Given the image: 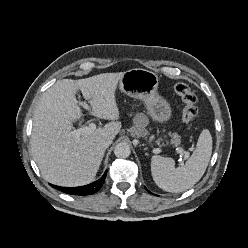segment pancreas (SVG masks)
Segmentation results:
<instances>
[{
  "mask_svg": "<svg viewBox=\"0 0 248 248\" xmlns=\"http://www.w3.org/2000/svg\"><path fill=\"white\" fill-rule=\"evenodd\" d=\"M173 143L179 144L181 142L180 136L178 134H173Z\"/></svg>",
  "mask_w": 248,
  "mask_h": 248,
  "instance_id": "obj_1",
  "label": "pancreas"
}]
</instances>
